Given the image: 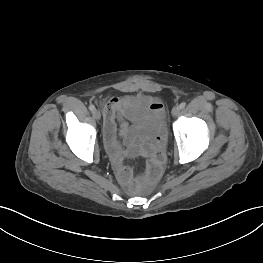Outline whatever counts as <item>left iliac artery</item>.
Segmentation results:
<instances>
[{"mask_svg": "<svg viewBox=\"0 0 263 263\" xmlns=\"http://www.w3.org/2000/svg\"><path fill=\"white\" fill-rule=\"evenodd\" d=\"M185 106H186V103H185V102H182V103L179 105L180 109L185 108Z\"/></svg>", "mask_w": 263, "mask_h": 263, "instance_id": "1", "label": "left iliac artery"}]
</instances>
